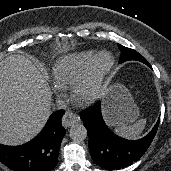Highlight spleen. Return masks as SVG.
<instances>
[{"mask_svg":"<svg viewBox=\"0 0 171 171\" xmlns=\"http://www.w3.org/2000/svg\"><path fill=\"white\" fill-rule=\"evenodd\" d=\"M146 123V119H141L130 126L116 127L114 129V132L126 139H138L143 133Z\"/></svg>","mask_w":171,"mask_h":171,"instance_id":"3e777b00","label":"spleen"}]
</instances>
